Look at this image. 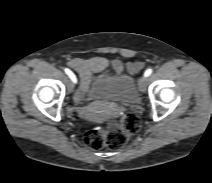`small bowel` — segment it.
<instances>
[{"mask_svg": "<svg viewBox=\"0 0 212 183\" xmlns=\"http://www.w3.org/2000/svg\"><path fill=\"white\" fill-rule=\"evenodd\" d=\"M68 65L79 74L80 78V92L75 96L76 101L82 99L94 76L107 67L111 66L116 73L128 71L132 74L137 73L142 68L141 63H123L119 60L109 61L103 57L74 58L69 61Z\"/></svg>", "mask_w": 212, "mask_h": 183, "instance_id": "1", "label": "small bowel"}]
</instances>
